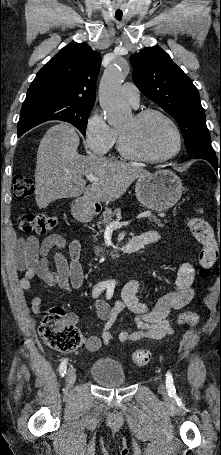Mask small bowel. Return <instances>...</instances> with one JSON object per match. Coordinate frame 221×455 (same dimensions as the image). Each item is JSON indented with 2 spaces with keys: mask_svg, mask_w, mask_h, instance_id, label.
I'll list each match as a JSON object with an SVG mask.
<instances>
[{
  "mask_svg": "<svg viewBox=\"0 0 221 455\" xmlns=\"http://www.w3.org/2000/svg\"><path fill=\"white\" fill-rule=\"evenodd\" d=\"M144 246L157 244L162 236L157 231H148L137 236ZM67 250V253H65ZM53 253L52 262L49 254ZM81 246L78 240H71L66 244L63 237L51 234L40 241L35 236L26 238L18 248L16 264L24 272L20 279V287L27 292H32L31 281L40 278L49 286H58L67 292L79 289L83 283V271L79 261ZM195 271L190 263H183L178 272L174 289L159 298L155 303L149 304L140 299V294L145 292L141 281L129 280L122 288L121 296L115 301L113 307L103 300L95 301V310L103 322L100 335L90 336L86 341L89 351H97L101 344L110 345L115 340L111 333L118 315L125 309L135 316L137 330H123L118 334L121 342H135L139 340H160L173 332L170 316L188 305L195 295ZM32 309L38 313L41 310V298L33 295ZM76 322L75 316H70Z\"/></svg>",
  "mask_w": 221,
  "mask_h": 455,
  "instance_id": "c3829d8e",
  "label": "small bowel"
}]
</instances>
